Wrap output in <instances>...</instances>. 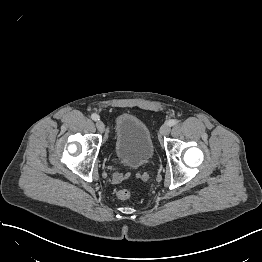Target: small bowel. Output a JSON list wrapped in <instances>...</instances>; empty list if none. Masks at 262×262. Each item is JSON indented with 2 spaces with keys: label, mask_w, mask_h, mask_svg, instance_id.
Returning <instances> with one entry per match:
<instances>
[{
  "label": "small bowel",
  "mask_w": 262,
  "mask_h": 262,
  "mask_svg": "<svg viewBox=\"0 0 262 262\" xmlns=\"http://www.w3.org/2000/svg\"><path fill=\"white\" fill-rule=\"evenodd\" d=\"M113 182H114V183H118V182H119V179H118V178H114V179H113Z\"/></svg>",
  "instance_id": "c3829d8e"
}]
</instances>
